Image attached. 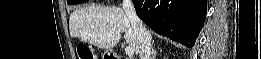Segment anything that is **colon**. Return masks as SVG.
Segmentation results:
<instances>
[{
  "label": "colon",
  "instance_id": "colon-1",
  "mask_svg": "<svg viewBox=\"0 0 261 59\" xmlns=\"http://www.w3.org/2000/svg\"><path fill=\"white\" fill-rule=\"evenodd\" d=\"M79 59H97L96 53L87 46H80L78 48Z\"/></svg>",
  "mask_w": 261,
  "mask_h": 59
}]
</instances>
